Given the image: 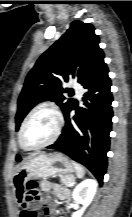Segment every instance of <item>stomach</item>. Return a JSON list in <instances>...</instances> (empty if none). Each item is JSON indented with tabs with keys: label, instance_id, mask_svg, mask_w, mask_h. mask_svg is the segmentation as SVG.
I'll use <instances>...</instances> for the list:
<instances>
[{
	"label": "stomach",
	"instance_id": "0dacf381",
	"mask_svg": "<svg viewBox=\"0 0 132 217\" xmlns=\"http://www.w3.org/2000/svg\"><path fill=\"white\" fill-rule=\"evenodd\" d=\"M75 171L69 158L62 153H41L20 166L13 177L15 186H25L31 179H47L56 174L68 175Z\"/></svg>",
	"mask_w": 132,
	"mask_h": 217
}]
</instances>
